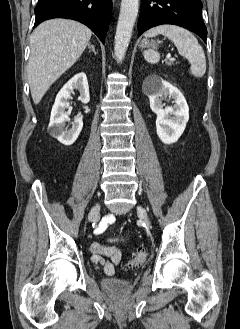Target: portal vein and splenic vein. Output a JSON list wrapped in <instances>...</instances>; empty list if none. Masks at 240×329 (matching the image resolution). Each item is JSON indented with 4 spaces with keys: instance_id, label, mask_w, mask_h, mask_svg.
<instances>
[{
    "instance_id": "portal-vein-and-splenic-vein-1",
    "label": "portal vein and splenic vein",
    "mask_w": 240,
    "mask_h": 329,
    "mask_svg": "<svg viewBox=\"0 0 240 329\" xmlns=\"http://www.w3.org/2000/svg\"><path fill=\"white\" fill-rule=\"evenodd\" d=\"M166 59H167V60H170V61H174V60H175L174 58L171 57L170 54H168V55L166 56Z\"/></svg>"
}]
</instances>
